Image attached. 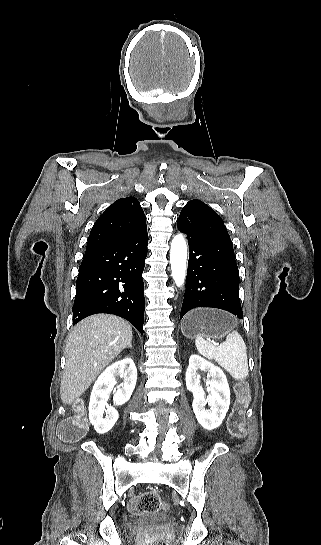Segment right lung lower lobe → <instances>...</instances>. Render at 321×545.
<instances>
[{
  "label": "right lung lower lobe",
  "instance_id": "right-lung-lower-lobe-1",
  "mask_svg": "<svg viewBox=\"0 0 321 545\" xmlns=\"http://www.w3.org/2000/svg\"><path fill=\"white\" fill-rule=\"evenodd\" d=\"M147 243L146 227L125 240L86 250L76 283L74 325L92 314L110 313L143 334Z\"/></svg>",
  "mask_w": 321,
  "mask_h": 545
}]
</instances>
